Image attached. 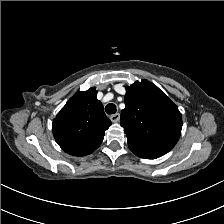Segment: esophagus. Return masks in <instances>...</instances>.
<instances>
[{"instance_id":"obj_1","label":"esophagus","mask_w":224,"mask_h":224,"mask_svg":"<svg viewBox=\"0 0 224 224\" xmlns=\"http://www.w3.org/2000/svg\"><path fill=\"white\" fill-rule=\"evenodd\" d=\"M110 120L113 122V123H116L120 120V114L119 113H115L114 115L110 116Z\"/></svg>"}]
</instances>
